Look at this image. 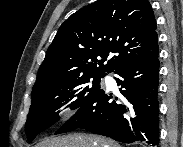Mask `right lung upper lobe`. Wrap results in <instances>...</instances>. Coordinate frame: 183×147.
Returning a JSON list of instances; mask_svg holds the SVG:
<instances>
[{"label": "right lung upper lobe", "instance_id": "obj_1", "mask_svg": "<svg viewBox=\"0 0 183 147\" xmlns=\"http://www.w3.org/2000/svg\"><path fill=\"white\" fill-rule=\"evenodd\" d=\"M157 55L156 21L148 0H97L60 26L32 90L81 76H104Z\"/></svg>", "mask_w": 183, "mask_h": 147}]
</instances>
